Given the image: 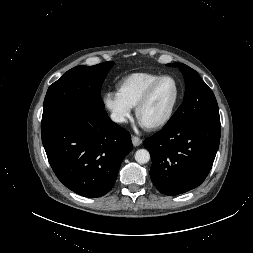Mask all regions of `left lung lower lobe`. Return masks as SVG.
Wrapping results in <instances>:
<instances>
[{
  "label": "left lung lower lobe",
  "instance_id": "obj_1",
  "mask_svg": "<svg viewBox=\"0 0 253 253\" xmlns=\"http://www.w3.org/2000/svg\"><path fill=\"white\" fill-rule=\"evenodd\" d=\"M221 124L200 119L163 128L143 142L149 150L150 177L163 194L175 196L198 187L213 165L220 142Z\"/></svg>",
  "mask_w": 253,
  "mask_h": 253
}]
</instances>
